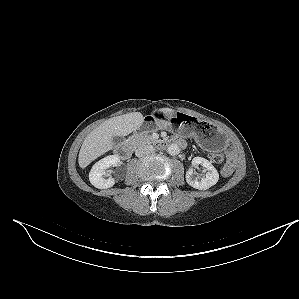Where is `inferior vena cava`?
I'll return each mask as SVG.
<instances>
[{
	"mask_svg": "<svg viewBox=\"0 0 299 299\" xmlns=\"http://www.w3.org/2000/svg\"><path fill=\"white\" fill-rule=\"evenodd\" d=\"M153 152H154V148L152 145H142L136 149L135 155L137 157H143V156L149 155Z\"/></svg>",
	"mask_w": 299,
	"mask_h": 299,
	"instance_id": "obj_1",
	"label": "inferior vena cava"
}]
</instances>
